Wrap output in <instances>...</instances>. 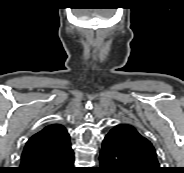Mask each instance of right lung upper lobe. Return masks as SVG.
Segmentation results:
<instances>
[{
    "label": "right lung upper lobe",
    "instance_id": "1",
    "mask_svg": "<svg viewBox=\"0 0 184 173\" xmlns=\"http://www.w3.org/2000/svg\"><path fill=\"white\" fill-rule=\"evenodd\" d=\"M71 149L66 128L61 124L48 125L27 141L21 166L61 156Z\"/></svg>",
    "mask_w": 184,
    "mask_h": 173
}]
</instances>
